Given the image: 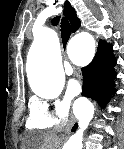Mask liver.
<instances>
[{"mask_svg":"<svg viewBox=\"0 0 124 149\" xmlns=\"http://www.w3.org/2000/svg\"><path fill=\"white\" fill-rule=\"evenodd\" d=\"M26 143L34 149H56L60 141L53 133H40L28 135Z\"/></svg>","mask_w":124,"mask_h":149,"instance_id":"obj_1","label":"liver"}]
</instances>
